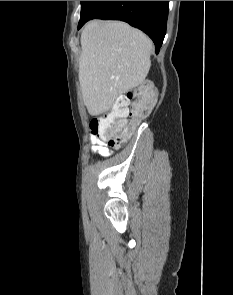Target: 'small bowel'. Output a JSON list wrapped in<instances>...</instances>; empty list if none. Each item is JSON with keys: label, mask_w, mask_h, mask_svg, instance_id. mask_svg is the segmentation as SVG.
Instances as JSON below:
<instances>
[{"label": "small bowel", "mask_w": 233, "mask_h": 295, "mask_svg": "<svg viewBox=\"0 0 233 295\" xmlns=\"http://www.w3.org/2000/svg\"><path fill=\"white\" fill-rule=\"evenodd\" d=\"M90 142H91L90 150L91 152L95 154H99L101 156L107 157V156H110L113 152L107 146V144L101 141L97 136H91Z\"/></svg>", "instance_id": "c3829d8e"}]
</instances>
